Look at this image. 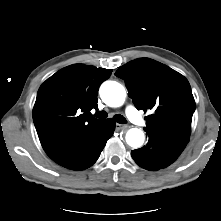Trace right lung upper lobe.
<instances>
[{
  "label": "right lung upper lobe",
  "instance_id": "1",
  "mask_svg": "<svg viewBox=\"0 0 221 221\" xmlns=\"http://www.w3.org/2000/svg\"><path fill=\"white\" fill-rule=\"evenodd\" d=\"M112 69L83 64L65 67L39 88L33 121L43 149L55 159L103 120L89 116L97 107L100 84Z\"/></svg>",
  "mask_w": 221,
  "mask_h": 221
}]
</instances>
